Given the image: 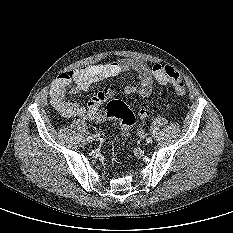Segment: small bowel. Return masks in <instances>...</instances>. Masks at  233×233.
Listing matches in <instances>:
<instances>
[{"label":"small bowel","instance_id":"c3829d8e","mask_svg":"<svg viewBox=\"0 0 233 233\" xmlns=\"http://www.w3.org/2000/svg\"><path fill=\"white\" fill-rule=\"evenodd\" d=\"M131 71L138 78V85H126L123 92L127 95L137 94L142 98L150 96L154 86V72L147 64L131 59H119L107 63L87 65L74 71L62 74L50 90L51 104L57 112L65 117H77L83 120L98 119L101 117L95 110L110 96L116 94L120 88L112 83L106 89L98 92L87 104V107L66 97L67 89L72 93H79L90 89L93 85L118 76L123 72Z\"/></svg>","mask_w":233,"mask_h":233}]
</instances>
